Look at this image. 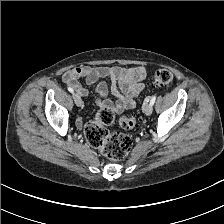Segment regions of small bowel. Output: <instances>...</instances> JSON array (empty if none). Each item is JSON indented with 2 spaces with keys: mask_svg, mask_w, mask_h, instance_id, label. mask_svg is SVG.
<instances>
[{
  "mask_svg": "<svg viewBox=\"0 0 224 224\" xmlns=\"http://www.w3.org/2000/svg\"><path fill=\"white\" fill-rule=\"evenodd\" d=\"M146 76L143 66L120 67V66H80L66 71L63 82L75 90L79 96H88V90L84 88L79 79H84L88 85H96L98 104L103 108H109L113 112L120 113L125 109L135 107L136 96L143 90L141 82ZM105 80L109 81V85ZM109 91L115 98L113 103L109 97ZM76 125H83L82 118H77Z\"/></svg>",
  "mask_w": 224,
  "mask_h": 224,
  "instance_id": "1",
  "label": "small bowel"
}]
</instances>
